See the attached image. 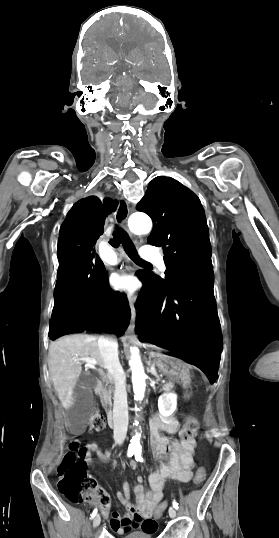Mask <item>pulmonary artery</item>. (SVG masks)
I'll list each match as a JSON object with an SVG mask.
<instances>
[{
  "instance_id": "obj_1",
  "label": "pulmonary artery",
  "mask_w": 279,
  "mask_h": 538,
  "mask_svg": "<svg viewBox=\"0 0 279 538\" xmlns=\"http://www.w3.org/2000/svg\"><path fill=\"white\" fill-rule=\"evenodd\" d=\"M120 260V256L119 255H109L107 256L105 259H104V262L105 264L107 265H113L115 263H117L118 261Z\"/></svg>"
}]
</instances>
